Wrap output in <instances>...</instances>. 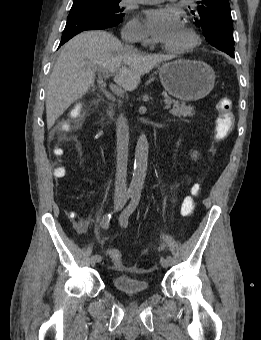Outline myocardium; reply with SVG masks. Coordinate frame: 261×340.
Returning <instances> with one entry per match:
<instances>
[{"instance_id":"obj_1","label":"myocardium","mask_w":261,"mask_h":340,"mask_svg":"<svg viewBox=\"0 0 261 340\" xmlns=\"http://www.w3.org/2000/svg\"><path fill=\"white\" fill-rule=\"evenodd\" d=\"M183 30L187 36V41L184 44L176 47L166 46L165 50L171 53H185L191 51L197 46L199 42V37L196 31L191 26L188 25H185L183 27Z\"/></svg>"}]
</instances>
